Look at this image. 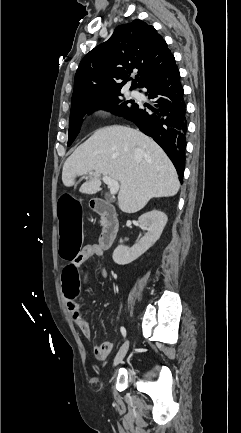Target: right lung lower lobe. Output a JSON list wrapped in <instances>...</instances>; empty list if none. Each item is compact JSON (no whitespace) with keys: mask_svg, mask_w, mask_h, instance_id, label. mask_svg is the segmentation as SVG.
<instances>
[{"mask_svg":"<svg viewBox=\"0 0 241 433\" xmlns=\"http://www.w3.org/2000/svg\"><path fill=\"white\" fill-rule=\"evenodd\" d=\"M154 107L138 105L124 116L134 122L146 135L152 137L173 162L180 181L183 180L186 148V103L180 83L179 70L173 62L170 67L143 86Z\"/></svg>","mask_w":241,"mask_h":433,"instance_id":"right-lung-lower-lobe-1","label":"right lung lower lobe"}]
</instances>
